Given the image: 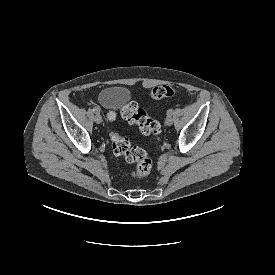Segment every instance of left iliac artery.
<instances>
[{
    "label": "left iliac artery",
    "mask_w": 275,
    "mask_h": 275,
    "mask_svg": "<svg viewBox=\"0 0 275 275\" xmlns=\"http://www.w3.org/2000/svg\"><path fill=\"white\" fill-rule=\"evenodd\" d=\"M172 114H173V110H172V109H169V110L167 111V115L170 116V115H172Z\"/></svg>",
    "instance_id": "1"
}]
</instances>
